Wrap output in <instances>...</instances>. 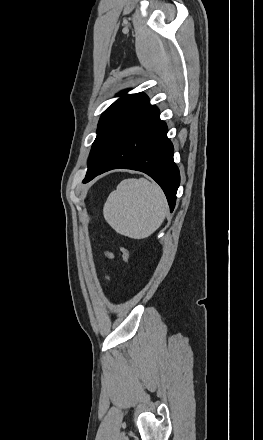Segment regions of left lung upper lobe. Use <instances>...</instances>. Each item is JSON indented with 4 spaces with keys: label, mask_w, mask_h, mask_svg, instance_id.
<instances>
[{
    "label": "left lung upper lobe",
    "mask_w": 263,
    "mask_h": 440,
    "mask_svg": "<svg viewBox=\"0 0 263 440\" xmlns=\"http://www.w3.org/2000/svg\"><path fill=\"white\" fill-rule=\"evenodd\" d=\"M125 94L126 91L119 93L118 95L123 96L101 115L88 159L86 177L105 166L134 116L149 101L144 93Z\"/></svg>",
    "instance_id": "1"
}]
</instances>
